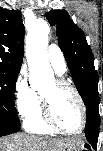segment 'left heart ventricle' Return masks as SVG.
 <instances>
[{"label": "left heart ventricle", "instance_id": "b2bd125f", "mask_svg": "<svg viewBox=\"0 0 103 151\" xmlns=\"http://www.w3.org/2000/svg\"><path fill=\"white\" fill-rule=\"evenodd\" d=\"M41 94L51 101L54 119L61 127L72 131L81 127V108L70 90L58 88L54 81Z\"/></svg>", "mask_w": 103, "mask_h": 151}]
</instances>
